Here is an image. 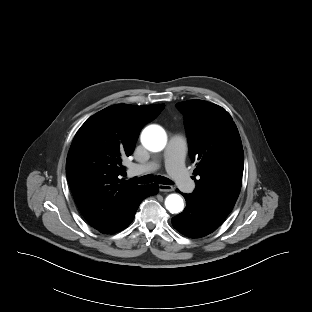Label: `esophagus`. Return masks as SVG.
<instances>
[{
  "label": "esophagus",
  "mask_w": 312,
  "mask_h": 312,
  "mask_svg": "<svg viewBox=\"0 0 312 312\" xmlns=\"http://www.w3.org/2000/svg\"><path fill=\"white\" fill-rule=\"evenodd\" d=\"M173 190H174V188L171 185L159 184V191L160 192H171Z\"/></svg>",
  "instance_id": "esophagus-1"
}]
</instances>
